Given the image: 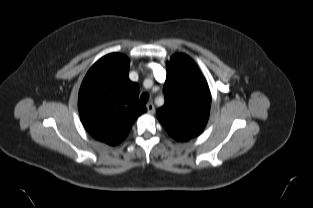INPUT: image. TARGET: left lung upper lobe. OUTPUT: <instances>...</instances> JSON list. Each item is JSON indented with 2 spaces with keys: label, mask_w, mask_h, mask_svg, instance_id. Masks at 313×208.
Returning a JSON list of instances; mask_svg holds the SVG:
<instances>
[{
  "label": "left lung upper lobe",
  "mask_w": 313,
  "mask_h": 208,
  "mask_svg": "<svg viewBox=\"0 0 313 208\" xmlns=\"http://www.w3.org/2000/svg\"><path fill=\"white\" fill-rule=\"evenodd\" d=\"M165 104L156 112L168 134L188 141L205 128L210 111L208 84L196 63L185 54H176L167 62L163 88Z\"/></svg>",
  "instance_id": "1"
}]
</instances>
